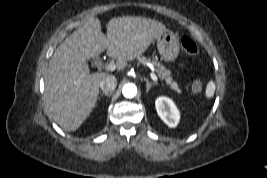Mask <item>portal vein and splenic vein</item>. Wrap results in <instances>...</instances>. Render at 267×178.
<instances>
[{
	"mask_svg": "<svg viewBox=\"0 0 267 178\" xmlns=\"http://www.w3.org/2000/svg\"><path fill=\"white\" fill-rule=\"evenodd\" d=\"M116 64H114V63H109V64H107L106 66H105V69L107 70V71H114L115 69H116ZM149 76H150V78L153 80V81H155V82H157L158 81V78H157V76L154 74V73H149Z\"/></svg>",
	"mask_w": 267,
	"mask_h": 178,
	"instance_id": "obj_1",
	"label": "portal vein and splenic vein"
}]
</instances>
